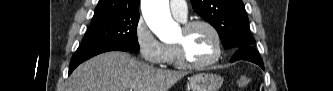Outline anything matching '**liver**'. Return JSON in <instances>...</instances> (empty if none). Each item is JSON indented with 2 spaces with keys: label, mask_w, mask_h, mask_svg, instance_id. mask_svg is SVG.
I'll return each instance as SVG.
<instances>
[{
  "label": "liver",
  "mask_w": 333,
  "mask_h": 91,
  "mask_svg": "<svg viewBox=\"0 0 333 91\" xmlns=\"http://www.w3.org/2000/svg\"><path fill=\"white\" fill-rule=\"evenodd\" d=\"M185 75L154 68L126 52H107L78 66L67 91H168Z\"/></svg>",
  "instance_id": "1"
}]
</instances>
